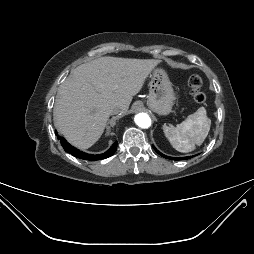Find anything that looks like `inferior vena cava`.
<instances>
[{
	"label": "inferior vena cava",
	"mask_w": 254,
	"mask_h": 254,
	"mask_svg": "<svg viewBox=\"0 0 254 254\" xmlns=\"http://www.w3.org/2000/svg\"><path fill=\"white\" fill-rule=\"evenodd\" d=\"M121 113L120 107H114L111 109V114H119Z\"/></svg>",
	"instance_id": "1"
}]
</instances>
